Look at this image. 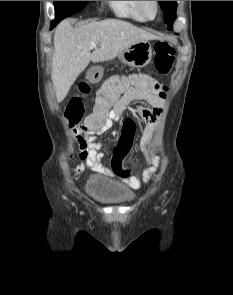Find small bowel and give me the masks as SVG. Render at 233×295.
Returning a JSON list of instances; mask_svg holds the SVG:
<instances>
[{
    "label": "small bowel",
    "instance_id": "obj_1",
    "mask_svg": "<svg viewBox=\"0 0 233 295\" xmlns=\"http://www.w3.org/2000/svg\"><path fill=\"white\" fill-rule=\"evenodd\" d=\"M134 100L145 101L149 106H141L131 109V113L146 123H154L162 114V105L164 98L157 94L140 93L134 96L125 95L114 102L113 108L109 111L103 124L94 130L86 131L83 128L73 129L74 138L79 146V158L84 161L85 167L100 173H108L109 170L102 164L104 154L99 152L101 145L95 142V133L103 134L108 131L113 123L119 121L122 116L129 110V104ZM80 131L86 133V137L80 134ZM153 167L145 171L143 178L140 180L136 177L129 179V185L133 188H140L142 183H147L156 172L159 166V160L152 158ZM83 166H78L75 173L83 171Z\"/></svg>",
    "mask_w": 233,
    "mask_h": 295
}]
</instances>
